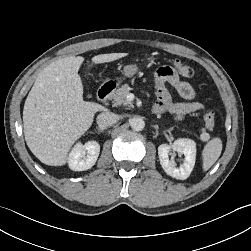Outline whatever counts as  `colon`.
I'll return each mask as SVG.
<instances>
[{
  "mask_svg": "<svg viewBox=\"0 0 251 251\" xmlns=\"http://www.w3.org/2000/svg\"><path fill=\"white\" fill-rule=\"evenodd\" d=\"M174 70L183 77H191L193 75V69L182 62L179 59L173 60ZM205 126L209 131H212L215 127V115L212 110H208L204 115Z\"/></svg>",
  "mask_w": 251,
  "mask_h": 251,
  "instance_id": "1",
  "label": "colon"
}]
</instances>
